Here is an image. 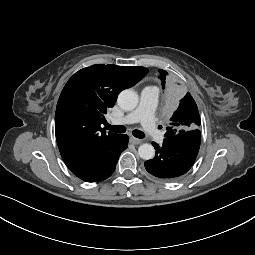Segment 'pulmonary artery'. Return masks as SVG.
<instances>
[{"mask_svg": "<svg viewBox=\"0 0 255 255\" xmlns=\"http://www.w3.org/2000/svg\"><path fill=\"white\" fill-rule=\"evenodd\" d=\"M158 94V88L155 86L143 88L138 107L121 118L113 119V122L122 125L140 122L151 137L157 141H162V133L157 129L155 122Z\"/></svg>", "mask_w": 255, "mask_h": 255, "instance_id": "1", "label": "pulmonary artery"}]
</instances>
